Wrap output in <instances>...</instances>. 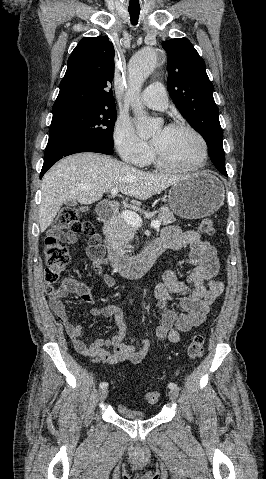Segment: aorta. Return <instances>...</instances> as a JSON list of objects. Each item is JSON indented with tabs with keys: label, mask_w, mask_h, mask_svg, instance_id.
Returning a JSON list of instances; mask_svg holds the SVG:
<instances>
[{
	"label": "aorta",
	"mask_w": 266,
	"mask_h": 479,
	"mask_svg": "<svg viewBox=\"0 0 266 479\" xmlns=\"http://www.w3.org/2000/svg\"><path fill=\"white\" fill-rule=\"evenodd\" d=\"M158 62V51L154 48H145L136 53L129 61V86L125 101L129 103L137 117L136 130L141 136L152 133L159 125L155 120L146 117L139 101V92L142 83L147 79Z\"/></svg>",
	"instance_id": "obj_1"
}]
</instances>
